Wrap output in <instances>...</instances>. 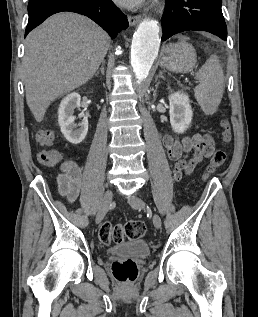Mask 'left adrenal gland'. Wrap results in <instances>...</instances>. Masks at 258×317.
Returning a JSON list of instances; mask_svg holds the SVG:
<instances>
[{
  "instance_id": "1",
  "label": "left adrenal gland",
  "mask_w": 258,
  "mask_h": 317,
  "mask_svg": "<svg viewBox=\"0 0 258 317\" xmlns=\"http://www.w3.org/2000/svg\"><path fill=\"white\" fill-rule=\"evenodd\" d=\"M158 78H165V76H163L162 70H160L159 74H157L155 80H158Z\"/></svg>"
}]
</instances>
